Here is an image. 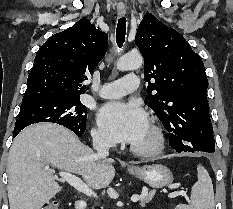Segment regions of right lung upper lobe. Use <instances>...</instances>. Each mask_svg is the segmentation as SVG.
Returning a JSON list of instances; mask_svg holds the SVG:
<instances>
[{
	"label": "right lung upper lobe",
	"mask_w": 233,
	"mask_h": 209,
	"mask_svg": "<svg viewBox=\"0 0 233 209\" xmlns=\"http://www.w3.org/2000/svg\"><path fill=\"white\" fill-rule=\"evenodd\" d=\"M108 35L83 18L52 35L38 50L22 103L44 99H76L82 82L107 51Z\"/></svg>",
	"instance_id": "cb5924a9"
}]
</instances>
